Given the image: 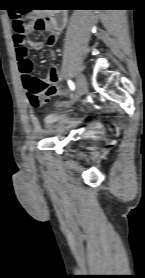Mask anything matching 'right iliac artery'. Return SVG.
Here are the masks:
<instances>
[{"label":"right iliac artery","instance_id":"obj_1","mask_svg":"<svg viewBox=\"0 0 145 278\" xmlns=\"http://www.w3.org/2000/svg\"><path fill=\"white\" fill-rule=\"evenodd\" d=\"M68 84H69V87H70L71 90L75 89V85H74V83L72 81L69 80Z\"/></svg>","mask_w":145,"mask_h":278}]
</instances>
